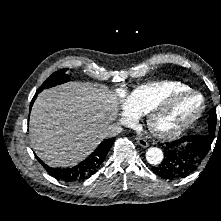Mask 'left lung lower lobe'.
<instances>
[{"mask_svg":"<svg viewBox=\"0 0 221 221\" xmlns=\"http://www.w3.org/2000/svg\"><path fill=\"white\" fill-rule=\"evenodd\" d=\"M205 153L196 136H184L166 146L162 162L152 171L164 179L184 178L197 169Z\"/></svg>","mask_w":221,"mask_h":221,"instance_id":"obj_1","label":"left lung lower lobe"}]
</instances>
